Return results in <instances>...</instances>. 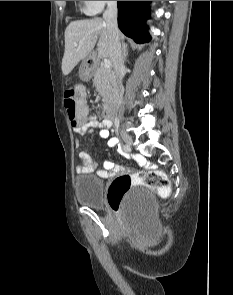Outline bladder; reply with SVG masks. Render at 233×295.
I'll return each instance as SVG.
<instances>
[{
  "instance_id": "1",
  "label": "bladder",
  "mask_w": 233,
  "mask_h": 295,
  "mask_svg": "<svg viewBox=\"0 0 233 295\" xmlns=\"http://www.w3.org/2000/svg\"><path fill=\"white\" fill-rule=\"evenodd\" d=\"M104 183L90 175H80L75 179V193L80 204L101 210L104 208ZM158 211V204L153 193L142 188L126 207V212L142 222L152 221Z\"/></svg>"
}]
</instances>
